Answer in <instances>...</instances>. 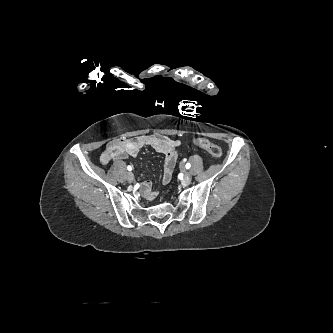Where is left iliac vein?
<instances>
[{
	"label": "left iliac vein",
	"mask_w": 333,
	"mask_h": 333,
	"mask_svg": "<svg viewBox=\"0 0 333 333\" xmlns=\"http://www.w3.org/2000/svg\"><path fill=\"white\" fill-rule=\"evenodd\" d=\"M191 175L188 172H184V178L182 180V185L187 186L191 183Z\"/></svg>",
	"instance_id": "1"
}]
</instances>
